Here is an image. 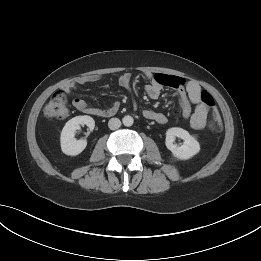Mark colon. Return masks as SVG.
I'll use <instances>...</instances> for the list:
<instances>
[{
  "instance_id": "1",
  "label": "colon",
  "mask_w": 261,
  "mask_h": 261,
  "mask_svg": "<svg viewBox=\"0 0 261 261\" xmlns=\"http://www.w3.org/2000/svg\"><path fill=\"white\" fill-rule=\"evenodd\" d=\"M202 101L213 109V117L215 122V128L218 131L222 130V121L219 113L215 109V102L213 97L207 92L203 91L201 94ZM43 115L48 119H65L69 115V109L67 106L66 96L63 91L56 92L50 101L45 105L43 109Z\"/></svg>"
}]
</instances>
